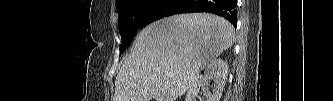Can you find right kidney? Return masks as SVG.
I'll list each match as a JSON object with an SVG mask.
<instances>
[{"label": "right kidney", "mask_w": 333, "mask_h": 101, "mask_svg": "<svg viewBox=\"0 0 333 101\" xmlns=\"http://www.w3.org/2000/svg\"><path fill=\"white\" fill-rule=\"evenodd\" d=\"M228 76V64L218 58L210 62L204 71V76L198 75L187 92L185 101H196L200 90L214 81L212 93H206V101H220L226 80Z\"/></svg>", "instance_id": "1"}]
</instances>
